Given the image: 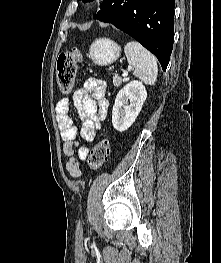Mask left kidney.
<instances>
[{
	"label": "left kidney",
	"mask_w": 221,
	"mask_h": 263,
	"mask_svg": "<svg viewBox=\"0 0 221 263\" xmlns=\"http://www.w3.org/2000/svg\"><path fill=\"white\" fill-rule=\"evenodd\" d=\"M146 98V88L140 81L126 84L115 99L112 110L113 127L119 132L127 130L140 113Z\"/></svg>",
	"instance_id": "left-kidney-1"
}]
</instances>
